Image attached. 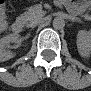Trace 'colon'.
Segmentation results:
<instances>
[{
  "label": "colon",
  "mask_w": 91,
  "mask_h": 91,
  "mask_svg": "<svg viewBox=\"0 0 91 91\" xmlns=\"http://www.w3.org/2000/svg\"><path fill=\"white\" fill-rule=\"evenodd\" d=\"M3 10H5L3 7L0 9V11H3Z\"/></svg>",
  "instance_id": "obj_1"
}]
</instances>
